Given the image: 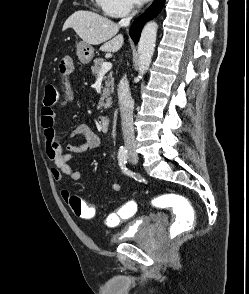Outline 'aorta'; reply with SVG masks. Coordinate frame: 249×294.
<instances>
[{
  "mask_svg": "<svg viewBox=\"0 0 249 294\" xmlns=\"http://www.w3.org/2000/svg\"><path fill=\"white\" fill-rule=\"evenodd\" d=\"M157 24L155 22H148L141 33L138 43V71L139 78L143 76L149 69L154 54Z\"/></svg>",
  "mask_w": 249,
  "mask_h": 294,
  "instance_id": "obj_1",
  "label": "aorta"
}]
</instances>
